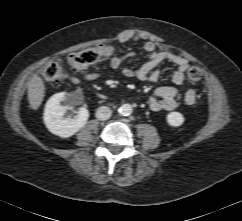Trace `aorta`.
<instances>
[{"label":"aorta","mask_w":242,"mask_h":221,"mask_svg":"<svg viewBox=\"0 0 242 221\" xmlns=\"http://www.w3.org/2000/svg\"><path fill=\"white\" fill-rule=\"evenodd\" d=\"M133 109L132 106L130 104H123L118 108V112L119 114L123 115V116H128L132 113Z\"/></svg>","instance_id":"1"}]
</instances>
